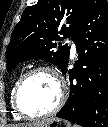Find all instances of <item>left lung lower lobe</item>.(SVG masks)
Wrapping results in <instances>:
<instances>
[{
    "instance_id": "obj_1",
    "label": "left lung lower lobe",
    "mask_w": 108,
    "mask_h": 127,
    "mask_svg": "<svg viewBox=\"0 0 108 127\" xmlns=\"http://www.w3.org/2000/svg\"><path fill=\"white\" fill-rule=\"evenodd\" d=\"M74 42L79 59L73 69L66 67L65 71L70 81V96L56 116L83 127H108V3L105 0H87ZM92 64L99 68L95 85L90 78Z\"/></svg>"
}]
</instances>
